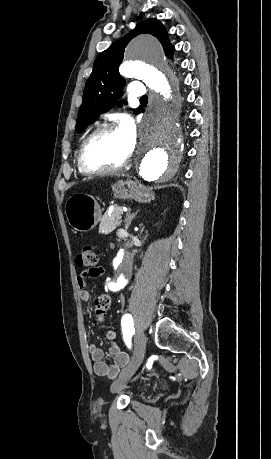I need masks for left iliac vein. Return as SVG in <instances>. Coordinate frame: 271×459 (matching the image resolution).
I'll return each instance as SVG.
<instances>
[{
    "label": "left iliac vein",
    "instance_id": "1",
    "mask_svg": "<svg viewBox=\"0 0 271 459\" xmlns=\"http://www.w3.org/2000/svg\"><path fill=\"white\" fill-rule=\"evenodd\" d=\"M146 353V338L143 332L136 335L134 345V355L128 366L123 369L119 378L112 383L110 390L112 393L120 392L126 385L127 380L136 372L139 364L144 359Z\"/></svg>",
    "mask_w": 271,
    "mask_h": 459
}]
</instances>
